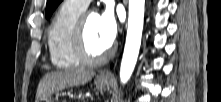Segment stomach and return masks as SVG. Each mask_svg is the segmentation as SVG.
Instances as JSON below:
<instances>
[{
  "label": "stomach",
  "mask_w": 221,
  "mask_h": 102,
  "mask_svg": "<svg viewBox=\"0 0 221 102\" xmlns=\"http://www.w3.org/2000/svg\"><path fill=\"white\" fill-rule=\"evenodd\" d=\"M111 85V80L109 79H104V78H101V77H98L96 80H95V86L98 90L100 91H104V90H108L109 87ZM38 102H54L52 101L50 98L47 99V100H40Z\"/></svg>",
  "instance_id": "0dacf381"
}]
</instances>
